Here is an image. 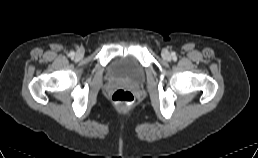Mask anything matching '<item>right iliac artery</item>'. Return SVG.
Wrapping results in <instances>:
<instances>
[{"instance_id": "obj_1", "label": "right iliac artery", "mask_w": 258, "mask_h": 158, "mask_svg": "<svg viewBox=\"0 0 258 158\" xmlns=\"http://www.w3.org/2000/svg\"><path fill=\"white\" fill-rule=\"evenodd\" d=\"M69 55H70L71 57H74V55H75L74 51H71Z\"/></svg>"}]
</instances>
